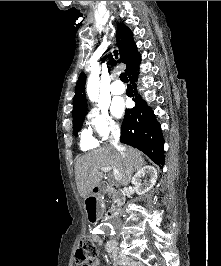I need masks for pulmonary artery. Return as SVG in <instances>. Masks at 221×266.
Here are the masks:
<instances>
[{
	"label": "pulmonary artery",
	"mask_w": 221,
	"mask_h": 266,
	"mask_svg": "<svg viewBox=\"0 0 221 266\" xmlns=\"http://www.w3.org/2000/svg\"><path fill=\"white\" fill-rule=\"evenodd\" d=\"M110 91L114 95H120L125 92V86L120 81L115 80L110 86Z\"/></svg>",
	"instance_id": "e3ab8cb5"
}]
</instances>
